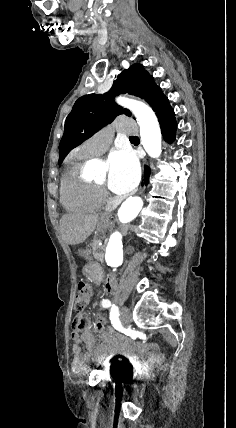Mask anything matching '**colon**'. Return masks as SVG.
<instances>
[{
	"label": "colon",
	"mask_w": 236,
	"mask_h": 428,
	"mask_svg": "<svg viewBox=\"0 0 236 428\" xmlns=\"http://www.w3.org/2000/svg\"><path fill=\"white\" fill-rule=\"evenodd\" d=\"M91 295V287L87 282H80L78 285V293L75 301V310L78 316L75 318L73 322L72 332L80 333L84 326V319L79 315L86 308L89 297ZM105 324V320L101 315H96L95 317V325L98 327H102Z\"/></svg>",
	"instance_id": "1"
}]
</instances>
